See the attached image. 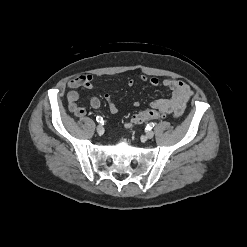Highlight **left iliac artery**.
<instances>
[{
	"label": "left iliac artery",
	"mask_w": 247,
	"mask_h": 247,
	"mask_svg": "<svg viewBox=\"0 0 247 247\" xmlns=\"http://www.w3.org/2000/svg\"><path fill=\"white\" fill-rule=\"evenodd\" d=\"M155 126V123L151 122L147 125L148 129H152Z\"/></svg>",
	"instance_id": "1"
}]
</instances>
